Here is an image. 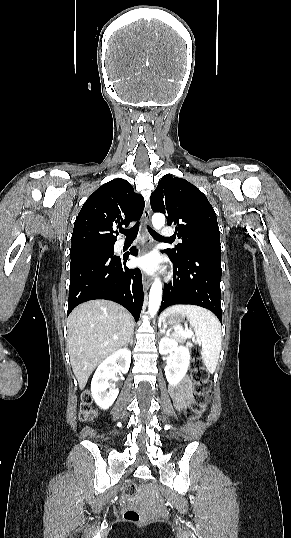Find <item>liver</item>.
<instances>
[{
	"label": "liver",
	"mask_w": 291,
	"mask_h": 538,
	"mask_svg": "<svg viewBox=\"0 0 291 538\" xmlns=\"http://www.w3.org/2000/svg\"><path fill=\"white\" fill-rule=\"evenodd\" d=\"M133 331L131 314L115 302L93 300L71 312L67 319V347L81 390L106 357L126 346Z\"/></svg>",
	"instance_id": "6515ba94"
}]
</instances>
